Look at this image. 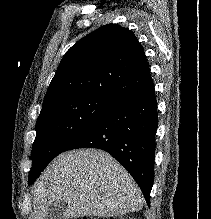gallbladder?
<instances>
[{
    "mask_svg": "<svg viewBox=\"0 0 211 219\" xmlns=\"http://www.w3.org/2000/svg\"><path fill=\"white\" fill-rule=\"evenodd\" d=\"M67 204L64 201L53 202L46 212L45 219H63Z\"/></svg>",
    "mask_w": 211,
    "mask_h": 219,
    "instance_id": "gallbladder-1",
    "label": "gallbladder"
}]
</instances>
